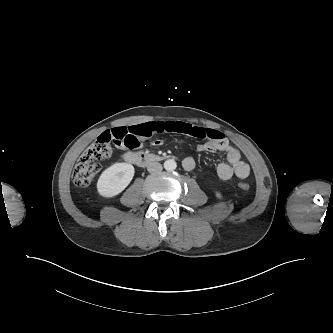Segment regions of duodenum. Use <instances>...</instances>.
Instances as JSON below:
<instances>
[{
	"mask_svg": "<svg viewBox=\"0 0 333 333\" xmlns=\"http://www.w3.org/2000/svg\"><path fill=\"white\" fill-rule=\"evenodd\" d=\"M124 160L136 164L140 167H145L150 164L159 162L165 159V156L157 155V154H148V153H140V152H126L124 154Z\"/></svg>",
	"mask_w": 333,
	"mask_h": 333,
	"instance_id": "410a0bca",
	"label": "duodenum"
}]
</instances>
